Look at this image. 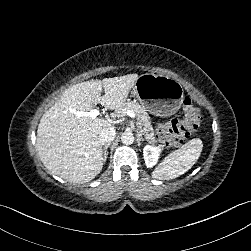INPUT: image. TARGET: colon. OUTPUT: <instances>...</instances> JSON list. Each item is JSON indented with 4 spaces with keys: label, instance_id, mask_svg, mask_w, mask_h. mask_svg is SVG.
I'll return each mask as SVG.
<instances>
[{
    "label": "colon",
    "instance_id": "5ec220e1",
    "mask_svg": "<svg viewBox=\"0 0 251 251\" xmlns=\"http://www.w3.org/2000/svg\"><path fill=\"white\" fill-rule=\"evenodd\" d=\"M183 117L161 124L157 128L158 139L166 146H180L199 127L202 116L190 98L182 102Z\"/></svg>",
    "mask_w": 251,
    "mask_h": 251
}]
</instances>
